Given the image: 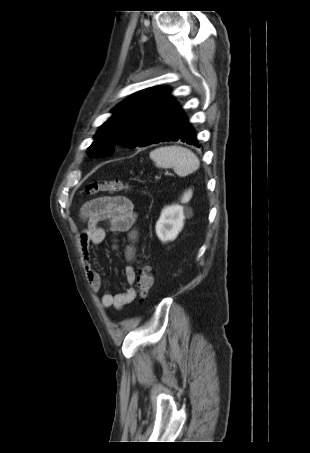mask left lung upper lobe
<instances>
[{
	"instance_id": "1",
	"label": "left lung upper lobe",
	"mask_w": 310,
	"mask_h": 453,
	"mask_svg": "<svg viewBox=\"0 0 310 453\" xmlns=\"http://www.w3.org/2000/svg\"><path fill=\"white\" fill-rule=\"evenodd\" d=\"M178 109L177 102L164 87H153L135 93L120 103L94 136L96 141L129 148L158 143L167 132ZM112 149L94 142L90 155H108Z\"/></svg>"
}]
</instances>
